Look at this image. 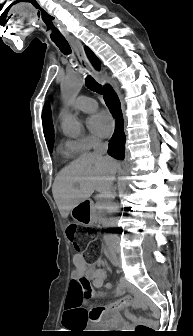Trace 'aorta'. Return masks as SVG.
I'll list each match as a JSON object with an SVG mask.
<instances>
[{"label":"aorta","instance_id":"762f6f07","mask_svg":"<svg viewBox=\"0 0 193 336\" xmlns=\"http://www.w3.org/2000/svg\"><path fill=\"white\" fill-rule=\"evenodd\" d=\"M83 84L84 79L80 72H73L63 80L61 96L66 105H69L77 97ZM61 126L63 133L71 138L79 137L82 131L81 122L68 110L61 114Z\"/></svg>","mask_w":193,"mask_h":336}]
</instances>
